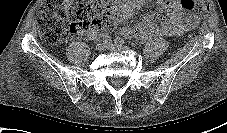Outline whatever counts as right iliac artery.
I'll list each match as a JSON object with an SVG mask.
<instances>
[{
	"mask_svg": "<svg viewBox=\"0 0 227 133\" xmlns=\"http://www.w3.org/2000/svg\"><path fill=\"white\" fill-rule=\"evenodd\" d=\"M103 41L106 43V44H110V42H111V39L109 38V37H104L103 38Z\"/></svg>",
	"mask_w": 227,
	"mask_h": 133,
	"instance_id": "right-iliac-artery-1",
	"label": "right iliac artery"
}]
</instances>
